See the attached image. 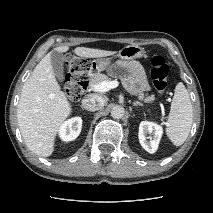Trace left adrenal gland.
<instances>
[{"mask_svg":"<svg viewBox=\"0 0 213 213\" xmlns=\"http://www.w3.org/2000/svg\"><path fill=\"white\" fill-rule=\"evenodd\" d=\"M133 106H142L140 102H132Z\"/></svg>","mask_w":213,"mask_h":213,"instance_id":"left-adrenal-gland-1","label":"left adrenal gland"}]
</instances>
